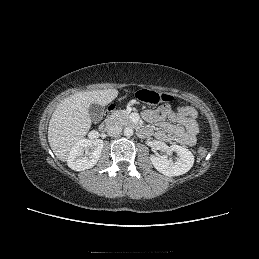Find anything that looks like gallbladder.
Listing matches in <instances>:
<instances>
[{"label":"gallbladder","instance_id":"1","mask_svg":"<svg viewBox=\"0 0 259 259\" xmlns=\"http://www.w3.org/2000/svg\"><path fill=\"white\" fill-rule=\"evenodd\" d=\"M88 112H89V116L91 118V120L95 123L99 122L104 114V108L97 104V103H93L89 106L88 108Z\"/></svg>","mask_w":259,"mask_h":259}]
</instances>
